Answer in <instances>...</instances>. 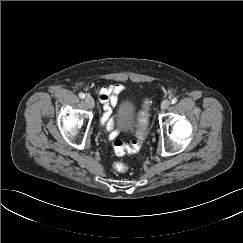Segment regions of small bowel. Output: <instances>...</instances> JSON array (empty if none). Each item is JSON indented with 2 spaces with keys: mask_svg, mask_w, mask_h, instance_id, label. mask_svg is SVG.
I'll use <instances>...</instances> for the list:
<instances>
[{
  "mask_svg": "<svg viewBox=\"0 0 243 243\" xmlns=\"http://www.w3.org/2000/svg\"><path fill=\"white\" fill-rule=\"evenodd\" d=\"M125 89L122 84H111L101 87L97 90L98 99L103 104L105 113L102 117V124L105 126L110 138L118 135L119 131L114 129L115 117H113L112 110L118 105V95Z\"/></svg>",
  "mask_w": 243,
  "mask_h": 243,
  "instance_id": "small-bowel-1",
  "label": "small bowel"
}]
</instances>
